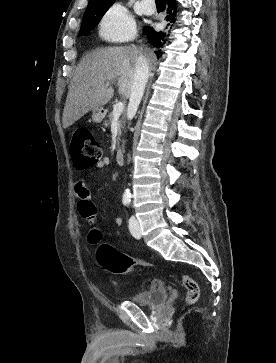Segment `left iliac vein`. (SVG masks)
Masks as SVG:
<instances>
[{"mask_svg":"<svg viewBox=\"0 0 276 363\" xmlns=\"http://www.w3.org/2000/svg\"><path fill=\"white\" fill-rule=\"evenodd\" d=\"M129 230L133 237H135V238L141 237V229H140L139 221L133 215L129 219Z\"/></svg>","mask_w":276,"mask_h":363,"instance_id":"left-iliac-vein-1","label":"left iliac vein"}]
</instances>
